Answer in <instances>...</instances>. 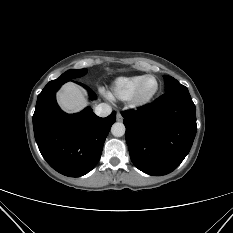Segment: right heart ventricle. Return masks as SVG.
Instances as JSON below:
<instances>
[{
    "label": "right heart ventricle",
    "mask_w": 233,
    "mask_h": 233,
    "mask_svg": "<svg viewBox=\"0 0 233 233\" xmlns=\"http://www.w3.org/2000/svg\"><path fill=\"white\" fill-rule=\"evenodd\" d=\"M144 77L145 75H135L116 79L111 88V96L123 101L129 100Z\"/></svg>",
    "instance_id": "right-heart-ventricle-1"
}]
</instances>
